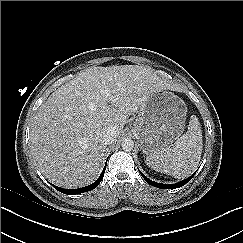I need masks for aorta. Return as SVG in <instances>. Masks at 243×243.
Segmentation results:
<instances>
[{
	"label": "aorta",
	"instance_id": "762f6f07",
	"mask_svg": "<svg viewBox=\"0 0 243 243\" xmlns=\"http://www.w3.org/2000/svg\"><path fill=\"white\" fill-rule=\"evenodd\" d=\"M121 146L124 151H131L134 148V142L130 138H125L122 141Z\"/></svg>",
	"mask_w": 243,
	"mask_h": 243
}]
</instances>
